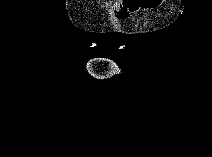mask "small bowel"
<instances>
[{"label": "small bowel", "instance_id": "small-bowel-1", "mask_svg": "<svg viewBox=\"0 0 212 157\" xmlns=\"http://www.w3.org/2000/svg\"><path fill=\"white\" fill-rule=\"evenodd\" d=\"M161 0H124L113 5V15L119 20L127 19L140 9H155Z\"/></svg>", "mask_w": 212, "mask_h": 157}]
</instances>
